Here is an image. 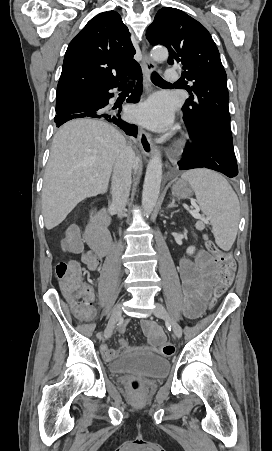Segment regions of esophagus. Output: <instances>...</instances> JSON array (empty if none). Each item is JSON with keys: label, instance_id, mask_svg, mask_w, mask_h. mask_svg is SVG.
I'll return each mask as SVG.
<instances>
[{"label": "esophagus", "instance_id": "esophagus-1", "mask_svg": "<svg viewBox=\"0 0 272 451\" xmlns=\"http://www.w3.org/2000/svg\"><path fill=\"white\" fill-rule=\"evenodd\" d=\"M141 68L143 72L144 89L146 92H150L152 90L150 74L156 69V63L150 59L148 54H146L141 63ZM138 140L142 152L146 156H151L154 153V146L150 134L144 129H139Z\"/></svg>", "mask_w": 272, "mask_h": 451}]
</instances>
